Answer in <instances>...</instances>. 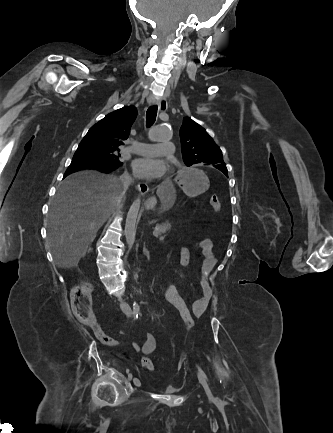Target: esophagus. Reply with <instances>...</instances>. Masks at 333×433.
I'll return each mask as SVG.
<instances>
[{
  "label": "esophagus",
  "mask_w": 333,
  "mask_h": 433,
  "mask_svg": "<svg viewBox=\"0 0 333 433\" xmlns=\"http://www.w3.org/2000/svg\"><path fill=\"white\" fill-rule=\"evenodd\" d=\"M158 107H159V111L161 113L165 112L168 108L166 100L160 99L158 101ZM137 188H138L139 192L141 193V195H145L149 190V186L145 182L138 183Z\"/></svg>",
  "instance_id": "esophagus-1"
}]
</instances>
